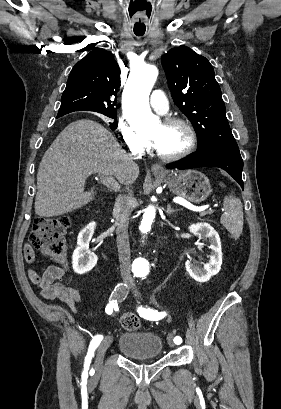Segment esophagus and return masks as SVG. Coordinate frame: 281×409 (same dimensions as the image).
<instances>
[{
    "mask_svg": "<svg viewBox=\"0 0 281 409\" xmlns=\"http://www.w3.org/2000/svg\"><path fill=\"white\" fill-rule=\"evenodd\" d=\"M151 170L154 173L160 174L163 172V167L159 164H152Z\"/></svg>",
    "mask_w": 281,
    "mask_h": 409,
    "instance_id": "34e87169",
    "label": "esophagus"
}]
</instances>
